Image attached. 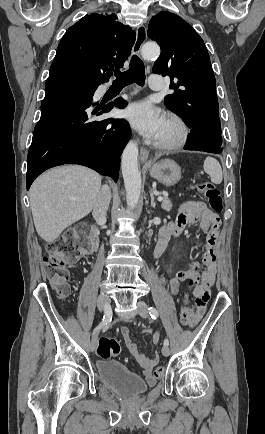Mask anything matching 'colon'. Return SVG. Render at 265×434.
Listing matches in <instances>:
<instances>
[{
    "label": "colon",
    "instance_id": "1",
    "mask_svg": "<svg viewBox=\"0 0 265 434\" xmlns=\"http://www.w3.org/2000/svg\"><path fill=\"white\" fill-rule=\"evenodd\" d=\"M197 188L206 198L211 210L216 213L223 211L221 193L211 182H199ZM78 258L79 251L71 230L67 232L66 237H59L49 245L47 257L42 266V274L52 282L53 288L61 298H66L69 295V266L74 264ZM189 285L194 286L193 278L189 280ZM189 305L190 303H187L180 313V322L183 327L192 326L196 321V319H190L187 311ZM96 351L99 358L106 361L112 356L119 355L121 346L115 338L103 336L98 341ZM163 370V365L159 364L154 374L158 377L163 373Z\"/></svg>",
    "mask_w": 265,
    "mask_h": 434
}]
</instances>
